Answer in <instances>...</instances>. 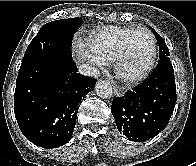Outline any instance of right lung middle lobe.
I'll return each mask as SVG.
<instances>
[{
    "instance_id": "1",
    "label": "right lung middle lobe",
    "mask_w": 196,
    "mask_h": 166,
    "mask_svg": "<svg viewBox=\"0 0 196 166\" xmlns=\"http://www.w3.org/2000/svg\"><path fill=\"white\" fill-rule=\"evenodd\" d=\"M82 23L81 18L77 17L45 24L29 44L23 60L49 53L72 58V39Z\"/></svg>"
}]
</instances>
